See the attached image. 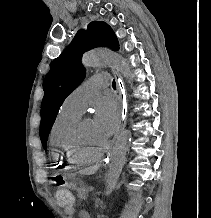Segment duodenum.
Masks as SVG:
<instances>
[{
	"mask_svg": "<svg viewBox=\"0 0 211 218\" xmlns=\"http://www.w3.org/2000/svg\"><path fill=\"white\" fill-rule=\"evenodd\" d=\"M79 215L81 218H92L91 214L87 210H81Z\"/></svg>",
	"mask_w": 211,
	"mask_h": 218,
	"instance_id": "1",
	"label": "duodenum"
}]
</instances>
